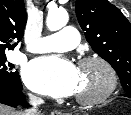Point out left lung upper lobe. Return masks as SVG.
<instances>
[{"label":"left lung upper lobe","mask_w":131,"mask_h":115,"mask_svg":"<svg viewBox=\"0 0 131 115\" xmlns=\"http://www.w3.org/2000/svg\"><path fill=\"white\" fill-rule=\"evenodd\" d=\"M78 22L92 49L117 72L131 98V24L107 0H76Z\"/></svg>","instance_id":"left-lung-upper-lobe-1"}]
</instances>
